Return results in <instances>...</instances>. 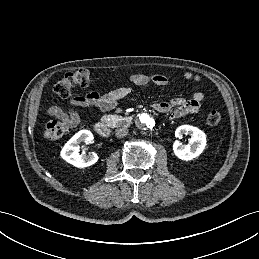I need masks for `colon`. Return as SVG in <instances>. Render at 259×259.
Listing matches in <instances>:
<instances>
[{
	"label": "colon",
	"mask_w": 259,
	"mask_h": 259,
	"mask_svg": "<svg viewBox=\"0 0 259 259\" xmlns=\"http://www.w3.org/2000/svg\"><path fill=\"white\" fill-rule=\"evenodd\" d=\"M90 83V74L87 70H77L66 73L55 85V93L61 98H68L75 87H86ZM207 124L216 126L221 121L218 111H210L206 118ZM70 128L64 121H51L45 127V136L50 140L63 137Z\"/></svg>",
	"instance_id": "colon-1"
}]
</instances>
